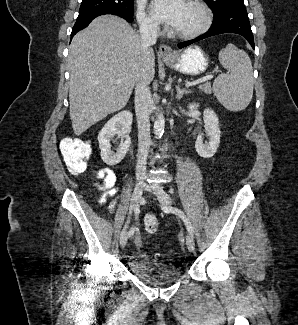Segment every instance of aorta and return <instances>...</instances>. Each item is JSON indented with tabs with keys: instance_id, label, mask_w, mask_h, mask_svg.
Masks as SVG:
<instances>
[{
	"instance_id": "aorta-1",
	"label": "aorta",
	"mask_w": 298,
	"mask_h": 325,
	"mask_svg": "<svg viewBox=\"0 0 298 325\" xmlns=\"http://www.w3.org/2000/svg\"><path fill=\"white\" fill-rule=\"evenodd\" d=\"M164 126H165V118L163 116V114H157L156 116V120L154 122V134H156V136H162L163 132H164Z\"/></svg>"
}]
</instances>
